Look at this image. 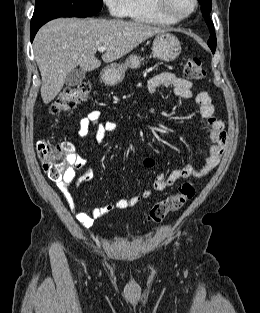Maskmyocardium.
Listing matches in <instances>:
<instances>
[{"instance_id":"f54148a6","label":"myocardium","mask_w":260,"mask_h":313,"mask_svg":"<svg viewBox=\"0 0 260 313\" xmlns=\"http://www.w3.org/2000/svg\"><path fill=\"white\" fill-rule=\"evenodd\" d=\"M192 8L186 12L183 13L179 16L173 15L172 13H170V11L168 10V8L166 7V0H153V7L155 9V11L165 20L173 23H179L183 20H185L186 18H188L189 16H191L197 9L198 7V0H192Z\"/></svg>"}]
</instances>
